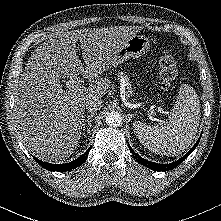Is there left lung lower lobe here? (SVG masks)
<instances>
[{"instance_id": "obj_1", "label": "left lung lower lobe", "mask_w": 221, "mask_h": 221, "mask_svg": "<svg viewBox=\"0 0 221 221\" xmlns=\"http://www.w3.org/2000/svg\"><path fill=\"white\" fill-rule=\"evenodd\" d=\"M199 140H200V138L198 139L196 144L193 146V148L186 155L181 157L179 160H177L173 163H169V164H158V163L150 162V161L145 160L144 158L140 157L136 153H134L130 146H129V149H130V152L133 154V157L142 165H145L146 167H148L152 170H155V171H168V170H172V169L176 168L182 161H184L188 157V155L196 148V146L199 143Z\"/></svg>"}]
</instances>
